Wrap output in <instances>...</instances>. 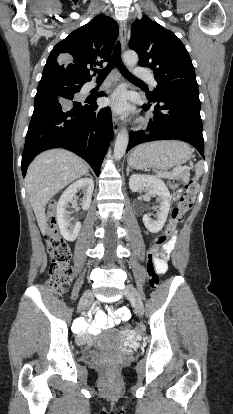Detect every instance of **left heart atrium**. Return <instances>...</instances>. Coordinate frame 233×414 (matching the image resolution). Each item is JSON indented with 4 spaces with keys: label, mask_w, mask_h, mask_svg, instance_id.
Listing matches in <instances>:
<instances>
[{
    "label": "left heart atrium",
    "mask_w": 233,
    "mask_h": 414,
    "mask_svg": "<svg viewBox=\"0 0 233 414\" xmlns=\"http://www.w3.org/2000/svg\"><path fill=\"white\" fill-rule=\"evenodd\" d=\"M107 104L116 112H126L130 109L127 103V95L125 92L118 90L114 92L107 100Z\"/></svg>",
    "instance_id": "left-heart-atrium-1"
}]
</instances>
